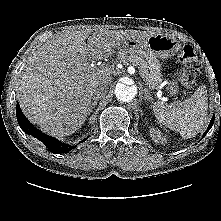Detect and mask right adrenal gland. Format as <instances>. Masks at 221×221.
<instances>
[{
	"label": "right adrenal gland",
	"mask_w": 221,
	"mask_h": 221,
	"mask_svg": "<svg viewBox=\"0 0 221 221\" xmlns=\"http://www.w3.org/2000/svg\"><path fill=\"white\" fill-rule=\"evenodd\" d=\"M97 103H98V99H95V101L91 103V106H90V109H89V115L92 112V109L95 107V105H97Z\"/></svg>",
	"instance_id": "right-adrenal-gland-1"
}]
</instances>
